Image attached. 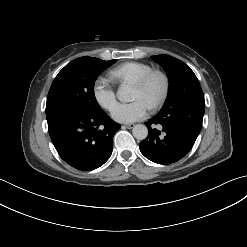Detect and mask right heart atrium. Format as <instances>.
Returning <instances> with one entry per match:
<instances>
[{
  "label": "right heart atrium",
  "instance_id": "d8ad5b80",
  "mask_svg": "<svg viewBox=\"0 0 247 247\" xmlns=\"http://www.w3.org/2000/svg\"><path fill=\"white\" fill-rule=\"evenodd\" d=\"M93 95L101 107L110 110L116 102V92L111 78L98 77L93 84Z\"/></svg>",
  "mask_w": 247,
  "mask_h": 247
}]
</instances>
